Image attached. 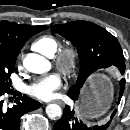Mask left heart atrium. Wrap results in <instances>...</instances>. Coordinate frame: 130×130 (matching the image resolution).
Wrapping results in <instances>:
<instances>
[{
    "instance_id": "39dd6f15",
    "label": "left heart atrium",
    "mask_w": 130,
    "mask_h": 130,
    "mask_svg": "<svg viewBox=\"0 0 130 130\" xmlns=\"http://www.w3.org/2000/svg\"><path fill=\"white\" fill-rule=\"evenodd\" d=\"M62 85L59 73L53 72L37 79L30 87L29 93L39 99L48 100L55 96Z\"/></svg>"
}]
</instances>
